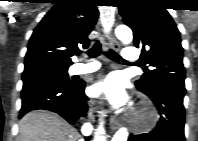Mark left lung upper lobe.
<instances>
[{
  "instance_id": "1",
  "label": "left lung upper lobe",
  "mask_w": 198,
  "mask_h": 141,
  "mask_svg": "<svg viewBox=\"0 0 198 141\" xmlns=\"http://www.w3.org/2000/svg\"><path fill=\"white\" fill-rule=\"evenodd\" d=\"M124 23L134 32V44L142 48V58L153 70H145L137 88L152 93L172 84L185 88L183 48L179 30L158 0H124L119 6Z\"/></svg>"
}]
</instances>
